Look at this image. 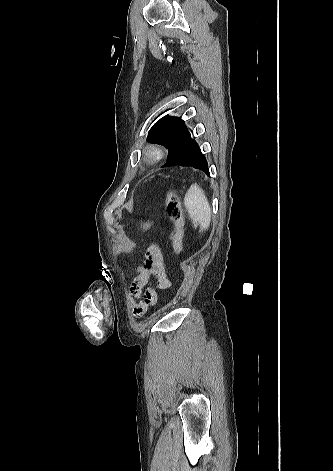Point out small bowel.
Listing matches in <instances>:
<instances>
[{
  "instance_id": "1",
  "label": "small bowel",
  "mask_w": 333,
  "mask_h": 471,
  "mask_svg": "<svg viewBox=\"0 0 333 471\" xmlns=\"http://www.w3.org/2000/svg\"><path fill=\"white\" fill-rule=\"evenodd\" d=\"M136 277L126 292L127 303L135 318L143 317L148 309L158 303L156 289H169L172 282L163 263V252L159 245L152 244L146 250V260L143 265L135 268ZM153 287H148L151 278Z\"/></svg>"
}]
</instances>
